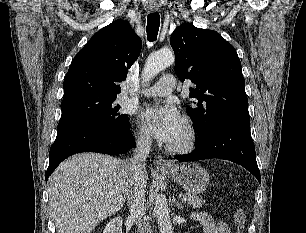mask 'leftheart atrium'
<instances>
[{
	"label": "left heart atrium",
	"mask_w": 306,
	"mask_h": 233,
	"mask_svg": "<svg viewBox=\"0 0 306 233\" xmlns=\"http://www.w3.org/2000/svg\"><path fill=\"white\" fill-rule=\"evenodd\" d=\"M141 119L152 135L167 143L176 137L184 124L180 112L171 103L146 109Z\"/></svg>",
	"instance_id": "1"
}]
</instances>
